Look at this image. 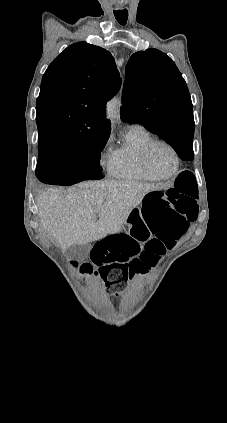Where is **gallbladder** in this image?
Segmentation results:
<instances>
[{"instance_id": "obj_1", "label": "gallbladder", "mask_w": 227, "mask_h": 423, "mask_svg": "<svg viewBox=\"0 0 227 423\" xmlns=\"http://www.w3.org/2000/svg\"><path fill=\"white\" fill-rule=\"evenodd\" d=\"M90 249V243H86V245H70L67 253H69L73 259H77V261H84V259H87Z\"/></svg>"}]
</instances>
